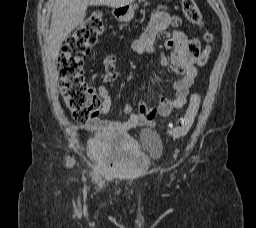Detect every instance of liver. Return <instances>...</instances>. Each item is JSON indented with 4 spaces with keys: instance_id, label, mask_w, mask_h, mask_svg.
<instances>
[{
    "instance_id": "6515ba94",
    "label": "liver",
    "mask_w": 256,
    "mask_h": 228,
    "mask_svg": "<svg viewBox=\"0 0 256 228\" xmlns=\"http://www.w3.org/2000/svg\"><path fill=\"white\" fill-rule=\"evenodd\" d=\"M133 0H55L48 45L52 58L59 56L63 41L81 23L86 16L89 5H106L119 8L128 5Z\"/></svg>"
}]
</instances>
